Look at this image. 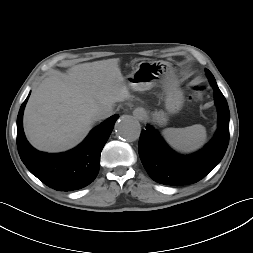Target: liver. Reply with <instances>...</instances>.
Here are the masks:
<instances>
[{
  "instance_id": "1",
  "label": "liver",
  "mask_w": 253,
  "mask_h": 253,
  "mask_svg": "<svg viewBox=\"0 0 253 253\" xmlns=\"http://www.w3.org/2000/svg\"><path fill=\"white\" fill-rule=\"evenodd\" d=\"M119 62L114 58L79 64L67 74L43 80L24 111L29 142L41 151L71 149L91 130L96 110L131 99Z\"/></svg>"
}]
</instances>
